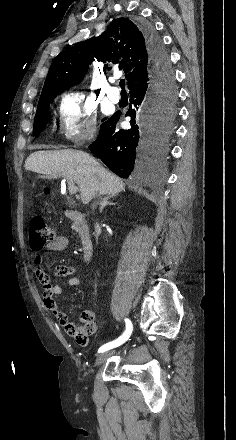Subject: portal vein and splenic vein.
Here are the masks:
<instances>
[{
    "label": "portal vein and splenic vein",
    "instance_id": "obj_1",
    "mask_svg": "<svg viewBox=\"0 0 236 440\" xmlns=\"http://www.w3.org/2000/svg\"><path fill=\"white\" fill-rule=\"evenodd\" d=\"M63 181H66V179H64ZM67 181H68V190H69V193H70L71 195H72V194H75V193L78 191V187L75 186V184H74V182H73L72 179H67Z\"/></svg>",
    "mask_w": 236,
    "mask_h": 440
}]
</instances>
